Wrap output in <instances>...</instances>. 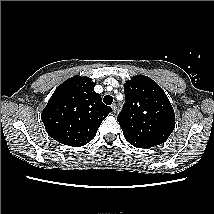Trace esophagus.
I'll list each match as a JSON object with an SVG mask.
<instances>
[{
	"label": "esophagus",
	"instance_id": "1",
	"mask_svg": "<svg viewBox=\"0 0 214 214\" xmlns=\"http://www.w3.org/2000/svg\"><path fill=\"white\" fill-rule=\"evenodd\" d=\"M111 108H112V110H113L114 113L117 111V105L115 103H113L111 105Z\"/></svg>",
	"mask_w": 214,
	"mask_h": 214
}]
</instances>
